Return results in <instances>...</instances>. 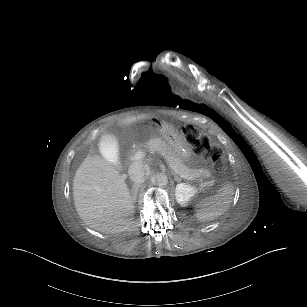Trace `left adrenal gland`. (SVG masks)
Segmentation results:
<instances>
[{
  "instance_id": "left-adrenal-gland-1",
  "label": "left adrenal gland",
  "mask_w": 307,
  "mask_h": 307,
  "mask_svg": "<svg viewBox=\"0 0 307 307\" xmlns=\"http://www.w3.org/2000/svg\"><path fill=\"white\" fill-rule=\"evenodd\" d=\"M172 174L174 175V180L175 181H180V178H179V176L176 173L172 172Z\"/></svg>"
}]
</instances>
